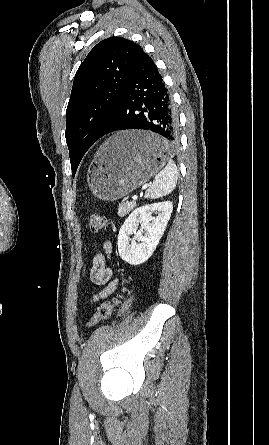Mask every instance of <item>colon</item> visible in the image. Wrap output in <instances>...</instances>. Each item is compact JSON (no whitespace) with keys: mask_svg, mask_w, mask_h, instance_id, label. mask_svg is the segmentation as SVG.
I'll return each instance as SVG.
<instances>
[{"mask_svg":"<svg viewBox=\"0 0 269 445\" xmlns=\"http://www.w3.org/2000/svg\"><path fill=\"white\" fill-rule=\"evenodd\" d=\"M106 225V219L103 215L99 213H92L89 217V228L92 232L101 231ZM128 287L124 286L122 288V292L116 298H114L111 302H105L99 305L96 309L94 315L88 320L87 326L92 327L98 324L100 321L105 320L109 317L111 312L115 307L120 305L124 295L128 293Z\"/></svg>","mask_w":269,"mask_h":445,"instance_id":"colon-1","label":"colon"}]
</instances>
